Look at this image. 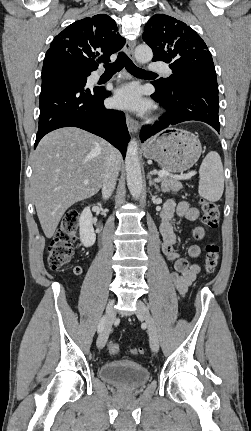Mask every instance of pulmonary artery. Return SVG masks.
Masks as SVG:
<instances>
[{"mask_svg":"<svg viewBox=\"0 0 251 431\" xmlns=\"http://www.w3.org/2000/svg\"><path fill=\"white\" fill-rule=\"evenodd\" d=\"M148 69L153 72H161L166 75H169L171 73V70L169 69L168 65L162 62H153L150 63L148 66Z\"/></svg>","mask_w":251,"mask_h":431,"instance_id":"1","label":"pulmonary artery"}]
</instances>
